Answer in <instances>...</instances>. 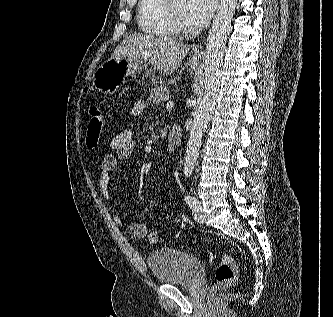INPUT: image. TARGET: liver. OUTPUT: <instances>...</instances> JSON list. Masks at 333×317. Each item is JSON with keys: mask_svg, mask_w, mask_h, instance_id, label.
Instances as JSON below:
<instances>
[{"mask_svg": "<svg viewBox=\"0 0 333 317\" xmlns=\"http://www.w3.org/2000/svg\"><path fill=\"white\" fill-rule=\"evenodd\" d=\"M189 50L190 45L175 38L134 33L115 48L111 59L144 62L164 75H171Z\"/></svg>", "mask_w": 333, "mask_h": 317, "instance_id": "liver-1", "label": "liver"}]
</instances>
